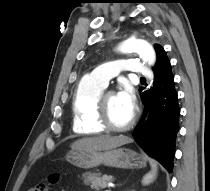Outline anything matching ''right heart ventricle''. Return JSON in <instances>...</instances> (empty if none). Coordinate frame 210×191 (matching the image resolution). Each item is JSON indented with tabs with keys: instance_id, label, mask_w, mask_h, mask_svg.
I'll use <instances>...</instances> for the list:
<instances>
[{
	"instance_id": "right-heart-ventricle-1",
	"label": "right heart ventricle",
	"mask_w": 210,
	"mask_h": 191,
	"mask_svg": "<svg viewBox=\"0 0 210 191\" xmlns=\"http://www.w3.org/2000/svg\"><path fill=\"white\" fill-rule=\"evenodd\" d=\"M104 88L89 78H83L77 85L72 102V128L77 135L89 136L104 132L96 120V103Z\"/></svg>"
}]
</instances>
